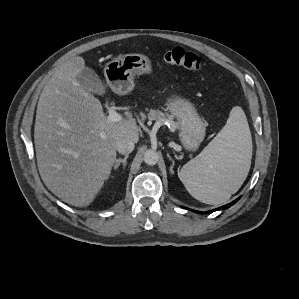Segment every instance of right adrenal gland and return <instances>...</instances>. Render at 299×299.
I'll use <instances>...</instances> for the list:
<instances>
[{"instance_id": "right-adrenal-gland-1", "label": "right adrenal gland", "mask_w": 299, "mask_h": 299, "mask_svg": "<svg viewBox=\"0 0 299 299\" xmlns=\"http://www.w3.org/2000/svg\"><path fill=\"white\" fill-rule=\"evenodd\" d=\"M128 157L129 156L126 155L124 158L116 159L115 164H114V170H117L120 167L121 163L123 164V168L125 169Z\"/></svg>"}]
</instances>
